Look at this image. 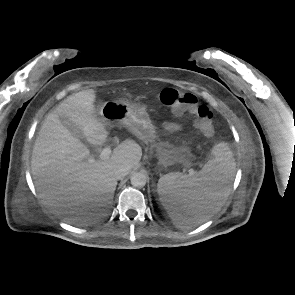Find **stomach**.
I'll return each mask as SVG.
<instances>
[{
	"label": "stomach",
	"mask_w": 295,
	"mask_h": 295,
	"mask_svg": "<svg viewBox=\"0 0 295 295\" xmlns=\"http://www.w3.org/2000/svg\"><path fill=\"white\" fill-rule=\"evenodd\" d=\"M100 120L109 126L122 125L135 136L156 148L158 163L172 165L182 158V149L168 143H157L156 132L146 107L127 101H107L99 110Z\"/></svg>",
	"instance_id": "0dacf381"
}]
</instances>
